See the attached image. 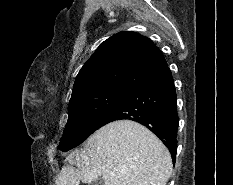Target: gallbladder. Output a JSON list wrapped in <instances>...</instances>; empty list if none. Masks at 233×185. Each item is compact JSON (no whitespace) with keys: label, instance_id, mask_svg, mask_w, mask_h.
Instances as JSON below:
<instances>
[{"label":"gallbladder","instance_id":"bac80fb5","mask_svg":"<svg viewBox=\"0 0 233 185\" xmlns=\"http://www.w3.org/2000/svg\"><path fill=\"white\" fill-rule=\"evenodd\" d=\"M90 185H104L103 179L99 178L96 181H93Z\"/></svg>","mask_w":233,"mask_h":185}]
</instances>
